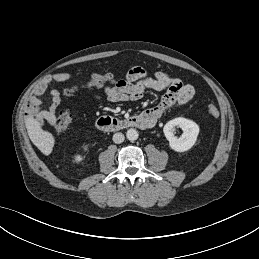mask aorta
<instances>
[{"mask_svg":"<svg viewBox=\"0 0 259 259\" xmlns=\"http://www.w3.org/2000/svg\"><path fill=\"white\" fill-rule=\"evenodd\" d=\"M138 136H139V134H138V132H137L136 129L130 128V129H128L127 132H126V137H127V139L130 140V141H135V140H137V139H138Z\"/></svg>","mask_w":259,"mask_h":259,"instance_id":"1","label":"aorta"}]
</instances>
